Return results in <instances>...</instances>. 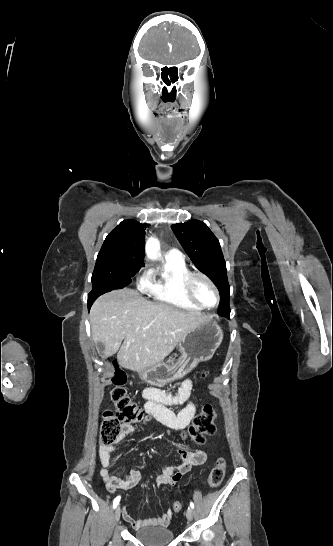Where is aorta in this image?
<instances>
[{"instance_id": "aorta-1", "label": "aorta", "mask_w": 333, "mask_h": 546, "mask_svg": "<svg viewBox=\"0 0 333 546\" xmlns=\"http://www.w3.org/2000/svg\"><path fill=\"white\" fill-rule=\"evenodd\" d=\"M159 250H160L159 241L154 237L149 238L145 247V252L148 258L156 259L159 254Z\"/></svg>"}]
</instances>
